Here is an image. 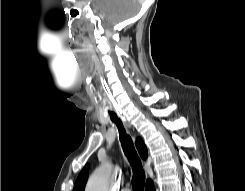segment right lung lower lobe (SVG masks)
<instances>
[{
    "label": "right lung lower lobe",
    "instance_id": "obj_1",
    "mask_svg": "<svg viewBox=\"0 0 245 191\" xmlns=\"http://www.w3.org/2000/svg\"><path fill=\"white\" fill-rule=\"evenodd\" d=\"M146 191H155L154 183L151 179L146 182Z\"/></svg>",
    "mask_w": 245,
    "mask_h": 191
}]
</instances>
